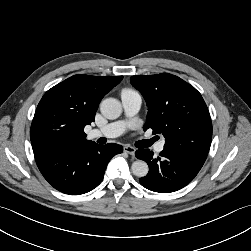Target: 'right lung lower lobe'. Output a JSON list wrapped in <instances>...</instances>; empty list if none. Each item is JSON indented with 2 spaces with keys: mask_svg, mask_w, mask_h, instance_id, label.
Instances as JSON below:
<instances>
[{
  "mask_svg": "<svg viewBox=\"0 0 251 251\" xmlns=\"http://www.w3.org/2000/svg\"><path fill=\"white\" fill-rule=\"evenodd\" d=\"M123 151L121 145L88 142L57 150L35 152L37 166L44 178L65 194L80 195L97 187L113 156Z\"/></svg>",
  "mask_w": 251,
  "mask_h": 251,
  "instance_id": "1",
  "label": "right lung lower lobe"
}]
</instances>
